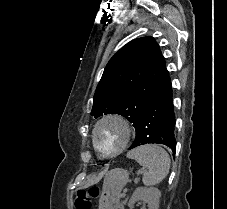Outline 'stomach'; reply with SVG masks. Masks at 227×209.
<instances>
[{
	"label": "stomach",
	"instance_id": "1",
	"mask_svg": "<svg viewBox=\"0 0 227 209\" xmlns=\"http://www.w3.org/2000/svg\"><path fill=\"white\" fill-rule=\"evenodd\" d=\"M128 179V172L122 168H115L106 173L99 199V209L119 208L120 192Z\"/></svg>",
	"mask_w": 227,
	"mask_h": 209
}]
</instances>
